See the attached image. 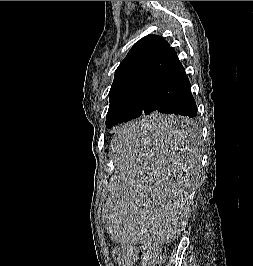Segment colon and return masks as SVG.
I'll list each match as a JSON object with an SVG mask.
<instances>
[{
    "label": "colon",
    "instance_id": "colon-1",
    "mask_svg": "<svg viewBox=\"0 0 253 266\" xmlns=\"http://www.w3.org/2000/svg\"><path fill=\"white\" fill-rule=\"evenodd\" d=\"M113 256L119 266H128L137 258L140 266H156L163 261L159 248H116Z\"/></svg>",
    "mask_w": 253,
    "mask_h": 266
}]
</instances>
